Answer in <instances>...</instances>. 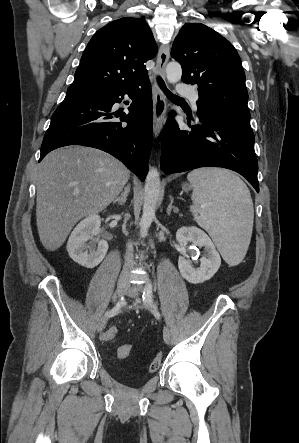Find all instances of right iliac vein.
Instances as JSON below:
<instances>
[{
  "label": "right iliac vein",
  "mask_w": 299,
  "mask_h": 443,
  "mask_svg": "<svg viewBox=\"0 0 299 443\" xmlns=\"http://www.w3.org/2000/svg\"><path fill=\"white\" fill-rule=\"evenodd\" d=\"M127 286H128V278L127 277H120L117 283V294L118 296H122L126 290H127ZM108 316L104 315L101 317V319L99 320L98 326H97V330L98 332H101L103 330V328L105 327L107 321H108Z\"/></svg>",
  "instance_id": "right-iliac-vein-1"
}]
</instances>
